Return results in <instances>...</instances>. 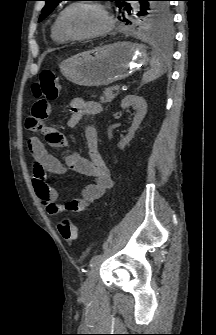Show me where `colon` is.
Here are the masks:
<instances>
[{"label":"colon","instance_id":"1","mask_svg":"<svg viewBox=\"0 0 216 335\" xmlns=\"http://www.w3.org/2000/svg\"><path fill=\"white\" fill-rule=\"evenodd\" d=\"M32 91L37 98H47L48 104L51 106L59 94L58 77L56 73L52 70L42 71L39 80L32 85ZM57 228L66 241H75L79 236L78 227L69 218L60 220Z\"/></svg>","mask_w":216,"mask_h":335}]
</instances>
